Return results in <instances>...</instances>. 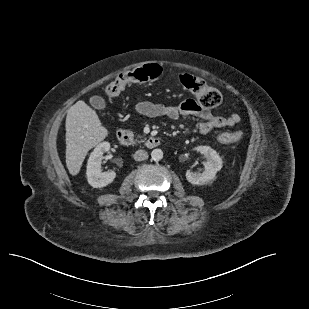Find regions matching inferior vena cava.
Instances as JSON below:
<instances>
[{"mask_svg":"<svg viewBox=\"0 0 309 309\" xmlns=\"http://www.w3.org/2000/svg\"><path fill=\"white\" fill-rule=\"evenodd\" d=\"M134 159L136 161H144L148 159V153L145 150H137L134 154Z\"/></svg>","mask_w":309,"mask_h":309,"instance_id":"inferior-vena-cava-1","label":"inferior vena cava"}]
</instances>
